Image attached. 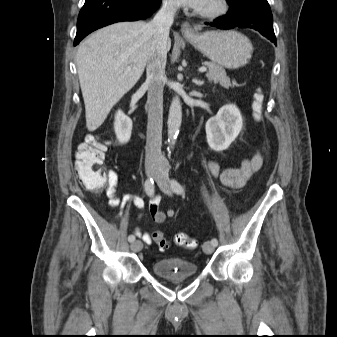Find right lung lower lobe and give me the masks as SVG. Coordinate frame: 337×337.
Masks as SVG:
<instances>
[{"instance_id": "98d812e1", "label": "right lung lower lobe", "mask_w": 337, "mask_h": 337, "mask_svg": "<svg viewBox=\"0 0 337 337\" xmlns=\"http://www.w3.org/2000/svg\"><path fill=\"white\" fill-rule=\"evenodd\" d=\"M160 3L161 0H85L77 21L74 45L92 31L109 24L145 19Z\"/></svg>"}]
</instances>
